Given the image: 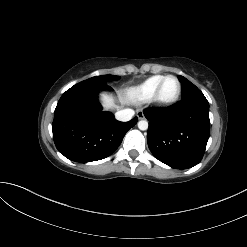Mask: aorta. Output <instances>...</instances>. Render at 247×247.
Returning <instances> with one entry per match:
<instances>
[{"instance_id":"aorta-1","label":"aorta","mask_w":247,"mask_h":247,"mask_svg":"<svg viewBox=\"0 0 247 247\" xmlns=\"http://www.w3.org/2000/svg\"><path fill=\"white\" fill-rule=\"evenodd\" d=\"M138 128L142 131L148 129V122L146 120H141L138 122Z\"/></svg>"}]
</instances>
